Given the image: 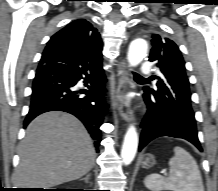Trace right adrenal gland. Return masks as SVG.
Here are the masks:
<instances>
[{"mask_svg":"<svg viewBox=\"0 0 218 191\" xmlns=\"http://www.w3.org/2000/svg\"><path fill=\"white\" fill-rule=\"evenodd\" d=\"M90 173L86 175V177L82 178L81 180H84L85 182H89Z\"/></svg>","mask_w":218,"mask_h":191,"instance_id":"1","label":"right adrenal gland"}]
</instances>
